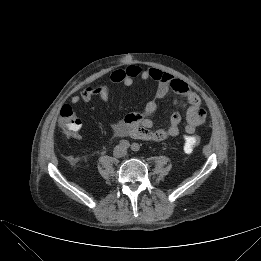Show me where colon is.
Wrapping results in <instances>:
<instances>
[{
    "label": "colon",
    "instance_id": "1",
    "mask_svg": "<svg viewBox=\"0 0 261 261\" xmlns=\"http://www.w3.org/2000/svg\"><path fill=\"white\" fill-rule=\"evenodd\" d=\"M59 127L68 136L73 135L80 127V121L74 114L71 106L64 105L59 114ZM200 138L196 135L188 134L183 139V149L185 152H192L198 147Z\"/></svg>",
    "mask_w": 261,
    "mask_h": 261
}]
</instances>
